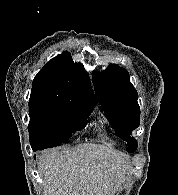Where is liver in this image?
Here are the masks:
<instances>
[{
  "label": "liver",
  "mask_w": 178,
  "mask_h": 195,
  "mask_svg": "<svg viewBox=\"0 0 178 195\" xmlns=\"http://www.w3.org/2000/svg\"><path fill=\"white\" fill-rule=\"evenodd\" d=\"M45 195H113L125 158L97 144L45 152L39 157Z\"/></svg>",
  "instance_id": "liver-1"
}]
</instances>
